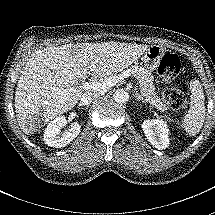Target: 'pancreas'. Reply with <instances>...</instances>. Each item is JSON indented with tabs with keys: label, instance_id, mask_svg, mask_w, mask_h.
<instances>
[{
	"label": "pancreas",
	"instance_id": "1",
	"mask_svg": "<svg viewBox=\"0 0 215 215\" xmlns=\"http://www.w3.org/2000/svg\"><path fill=\"white\" fill-rule=\"evenodd\" d=\"M127 70L138 80L140 92L145 98V101L149 102L150 105L155 107L157 110L165 112L167 110V106L155 92V86L153 84L154 77L152 73L138 65H132Z\"/></svg>",
	"mask_w": 215,
	"mask_h": 215
}]
</instances>
